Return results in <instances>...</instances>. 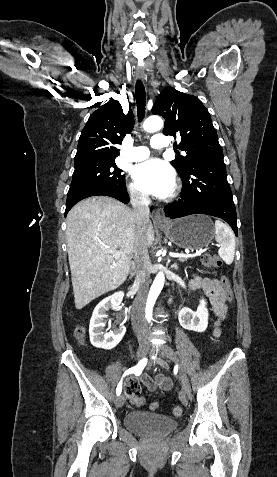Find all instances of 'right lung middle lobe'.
<instances>
[{
    "instance_id": "1",
    "label": "right lung middle lobe",
    "mask_w": 277,
    "mask_h": 477,
    "mask_svg": "<svg viewBox=\"0 0 277 477\" xmlns=\"http://www.w3.org/2000/svg\"><path fill=\"white\" fill-rule=\"evenodd\" d=\"M114 161L89 163L75 167L66 204L98 188L125 189V176Z\"/></svg>"
}]
</instances>
